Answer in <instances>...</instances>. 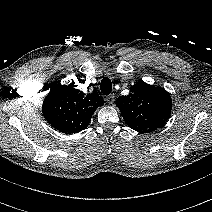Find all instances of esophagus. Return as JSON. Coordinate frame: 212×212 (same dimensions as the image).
Masks as SVG:
<instances>
[{"label":"esophagus","mask_w":212,"mask_h":212,"mask_svg":"<svg viewBox=\"0 0 212 212\" xmlns=\"http://www.w3.org/2000/svg\"><path fill=\"white\" fill-rule=\"evenodd\" d=\"M105 100L108 104H112L115 100V96L113 94L106 96Z\"/></svg>","instance_id":"obj_1"}]
</instances>
